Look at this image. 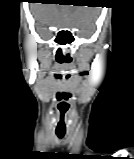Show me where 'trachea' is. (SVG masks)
I'll use <instances>...</instances> for the list:
<instances>
[{"instance_id":"1","label":"trachea","mask_w":134,"mask_h":159,"mask_svg":"<svg viewBox=\"0 0 134 159\" xmlns=\"http://www.w3.org/2000/svg\"><path fill=\"white\" fill-rule=\"evenodd\" d=\"M56 135H57V137L59 139H62L64 137L65 133H59V132H57Z\"/></svg>"}]
</instances>
